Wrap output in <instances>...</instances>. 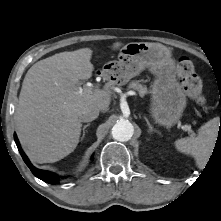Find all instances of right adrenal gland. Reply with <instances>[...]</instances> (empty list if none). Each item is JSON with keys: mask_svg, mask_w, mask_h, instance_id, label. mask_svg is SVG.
<instances>
[{"mask_svg": "<svg viewBox=\"0 0 221 221\" xmlns=\"http://www.w3.org/2000/svg\"><path fill=\"white\" fill-rule=\"evenodd\" d=\"M88 126H90V123L83 126V134H82L81 140H83V138L85 137V130Z\"/></svg>", "mask_w": 221, "mask_h": 221, "instance_id": "1", "label": "right adrenal gland"}]
</instances>
